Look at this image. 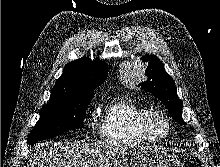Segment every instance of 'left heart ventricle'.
<instances>
[{
    "label": "left heart ventricle",
    "instance_id": "1",
    "mask_svg": "<svg viewBox=\"0 0 220 167\" xmlns=\"http://www.w3.org/2000/svg\"><path fill=\"white\" fill-rule=\"evenodd\" d=\"M153 126H154V130H155L156 134H158V135L164 134L165 125L162 122L155 121Z\"/></svg>",
    "mask_w": 220,
    "mask_h": 167
}]
</instances>
